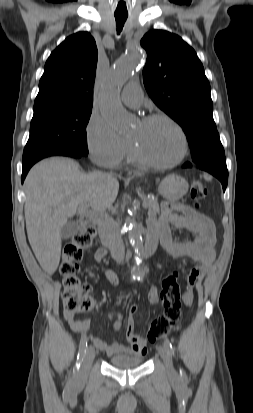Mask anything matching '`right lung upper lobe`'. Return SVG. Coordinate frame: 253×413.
<instances>
[{
    "label": "right lung upper lobe",
    "instance_id": "cb5924a9",
    "mask_svg": "<svg viewBox=\"0 0 253 413\" xmlns=\"http://www.w3.org/2000/svg\"><path fill=\"white\" fill-rule=\"evenodd\" d=\"M97 55L90 33L66 38L46 61L34 112L92 107Z\"/></svg>",
    "mask_w": 253,
    "mask_h": 413
}]
</instances>
